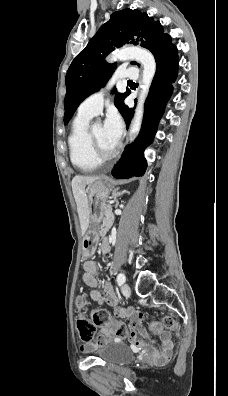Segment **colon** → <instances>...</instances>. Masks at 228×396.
I'll use <instances>...</instances> for the list:
<instances>
[{
  "label": "colon",
  "mask_w": 228,
  "mask_h": 396,
  "mask_svg": "<svg viewBox=\"0 0 228 396\" xmlns=\"http://www.w3.org/2000/svg\"><path fill=\"white\" fill-rule=\"evenodd\" d=\"M96 326L112 328L116 335L120 337H125L128 333L127 326L123 322L113 321L105 309L93 310L91 320L83 316L77 319V328L81 339L84 341H90L94 337ZM163 327L176 333L179 330L178 323L169 316L164 317L162 322L152 321L149 326L154 334H160Z\"/></svg>",
  "instance_id": "5ec220e1"
}]
</instances>
